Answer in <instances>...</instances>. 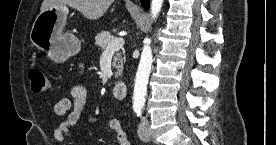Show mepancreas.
<instances>
[{
  "label": "pancreas",
  "instance_id": "pancreas-1",
  "mask_svg": "<svg viewBox=\"0 0 276 145\" xmlns=\"http://www.w3.org/2000/svg\"><path fill=\"white\" fill-rule=\"evenodd\" d=\"M113 39L114 37L109 32L103 31L95 36V45L98 47V50L104 51L106 50L109 42ZM123 63L122 53L117 50L112 63L113 67L117 70L114 74L115 78H118L122 74Z\"/></svg>",
  "mask_w": 276,
  "mask_h": 145
}]
</instances>
